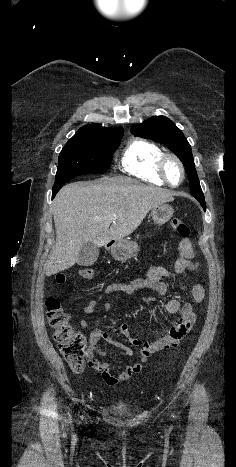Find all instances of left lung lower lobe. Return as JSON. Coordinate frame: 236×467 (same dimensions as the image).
Here are the masks:
<instances>
[{"mask_svg":"<svg viewBox=\"0 0 236 467\" xmlns=\"http://www.w3.org/2000/svg\"><path fill=\"white\" fill-rule=\"evenodd\" d=\"M195 198L200 202V204L202 205L203 209L205 210V206H206V205H205V199H204V197H202V198L195 197Z\"/></svg>","mask_w":236,"mask_h":467,"instance_id":"1","label":"left lung lower lobe"}]
</instances>
